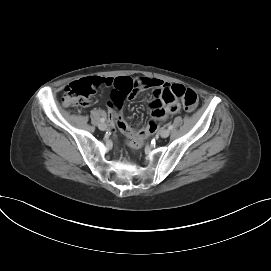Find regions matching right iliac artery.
Returning a JSON list of instances; mask_svg holds the SVG:
<instances>
[{
  "label": "right iliac artery",
  "mask_w": 271,
  "mask_h": 271,
  "mask_svg": "<svg viewBox=\"0 0 271 271\" xmlns=\"http://www.w3.org/2000/svg\"><path fill=\"white\" fill-rule=\"evenodd\" d=\"M100 121H101L102 123H104V122H105V118H101Z\"/></svg>",
  "instance_id": "right-iliac-artery-1"
}]
</instances>
